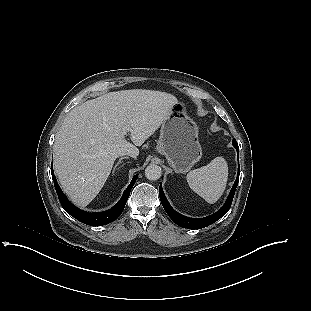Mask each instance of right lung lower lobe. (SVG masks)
<instances>
[{"mask_svg":"<svg viewBox=\"0 0 311 311\" xmlns=\"http://www.w3.org/2000/svg\"><path fill=\"white\" fill-rule=\"evenodd\" d=\"M51 173L52 179L54 181V186L62 207L67 211V213H69L78 221L91 226H101L108 224L110 222L115 221L121 215L127 202V199L130 195L131 188L134 186L135 181L137 179V175H135L129 186L124 191L119 202L116 203L111 209L103 212L89 213L77 208L66 198L64 193L61 191L59 185L57 184L52 167Z\"/></svg>","mask_w":311,"mask_h":311,"instance_id":"right-lung-lower-lobe-1","label":"right lung lower lobe"}]
</instances>
